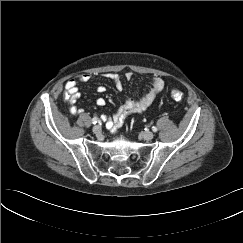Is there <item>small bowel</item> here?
I'll use <instances>...</instances> for the list:
<instances>
[{
    "label": "small bowel",
    "instance_id": "c3829d8e",
    "mask_svg": "<svg viewBox=\"0 0 243 243\" xmlns=\"http://www.w3.org/2000/svg\"><path fill=\"white\" fill-rule=\"evenodd\" d=\"M107 78L111 79L117 90L121 91L123 89V83L121 78L112 73H107L105 75ZM127 78L131 77L130 73L126 74ZM91 75L84 73L79 75L76 78H72L65 83V90L67 95L70 98L71 110L80 114L83 112L82 108H76L75 103L80 98L79 83H85L90 81ZM164 81L159 77H154L149 81L147 92L138 99L127 97L124 103L118 108L115 114L108 120L107 127L113 132L116 133L119 128L122 126L126 118L133 113H142L154 102L157 94L163 90ZM98 93L105 92L106 88L103 85H100L96 88ZM105 100L103 98L97 99L98 106H104Z\"/></svg>",
    "mask_w": 243,
    "mask_h": 243
}]
</instances>
